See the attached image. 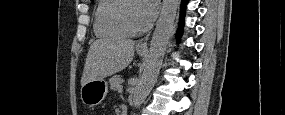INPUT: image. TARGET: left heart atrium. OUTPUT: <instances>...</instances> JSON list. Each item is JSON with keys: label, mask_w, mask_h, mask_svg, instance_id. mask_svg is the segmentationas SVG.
<instances>
[{"label": "left heart atrium", "mask_w": 285, "mask_h": 115, "mask_svg": "<svg viewBox=\"0 0 285 115\" xmlns=\"http://www.w3.org/2000/svg\"><path fill=\"white\" fill-rule=\"evenodd\" d=\"M157 0L139 1V18L143 26L149 25L157 13Z\"/></svg>", "instance_id": "39dd6f15"}]
</instances>
